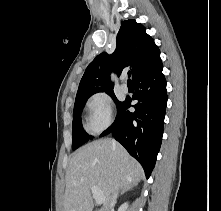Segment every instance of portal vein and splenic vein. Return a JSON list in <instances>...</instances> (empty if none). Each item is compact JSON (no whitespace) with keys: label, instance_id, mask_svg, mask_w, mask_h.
<instances>
[{"label":"portal vein and splenic vein","instance_id":"obj_1","mask_svg":"<svg viewBox=\"0 0 221 211\" xmlns=\"http://www.w3.org/2000/svg\"><path fill=\"white\" fill-rule=\"evenodd\" d=\"M93 197L95 198V201L97 204H102L105 200L104 194L96 187L93 186L91 188Z\"/></svg>","mask_w":221,"mask_h":211}]
</instances>
